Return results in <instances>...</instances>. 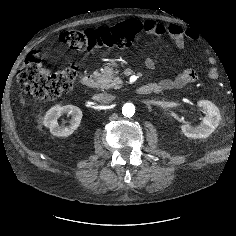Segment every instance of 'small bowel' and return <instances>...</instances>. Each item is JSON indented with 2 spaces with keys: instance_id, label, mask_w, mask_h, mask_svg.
Wrapping results in <instances>:
<instances>
[{
  "instance_id": "1",
  "label": "small bowel",
  "mask_w": 236,
  "mask_h": 236,
  "mask_svg": "<svg viewBox=\"0 0 236 236\" xmlns=\"http://www.w3.org/2000/svg\"><path fill=\"white\" fill-rule=\"evenodd\" d=\"M145 31L153 36L168 35L180 49L185 47L186 37L194 38L193 34H188L187 30L182 28L177 24H162L156 20H148L143 24ZM207 59L210 63H213L214 57L207 53ZM148 67H154L155 61L153 58L149 57L146 60ZM208 77L211 80H216L218 78V72L214 67H211L208 71ZM197 80V74L194 70L187 69L179 73L176 77L172 79H163L158 83H153L154 92H164L172 89L182 88L190 83Z\"/></svg>"
}]
</instances>
